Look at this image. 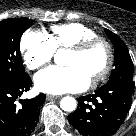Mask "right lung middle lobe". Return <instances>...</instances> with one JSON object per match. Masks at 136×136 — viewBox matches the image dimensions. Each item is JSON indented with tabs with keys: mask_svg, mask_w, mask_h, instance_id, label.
<instances>
[{
	"mask_svg": "<svg viewBox=\"0 0 136 136\" xmlns=\"http://www.w3.org/2000/svg\"><path fill=\"white\" fill-rule=\"evenodd\" d=\"M32 22L26 18L0 22V85H11L28 76L22 64L19 41Z\"/></svg>",
	"mask_w": 136,
	"mask_h": 136,
	"instance_id": "dd1d6c3e",
	"label": "right lung middle lobe"
}]
</instances>
